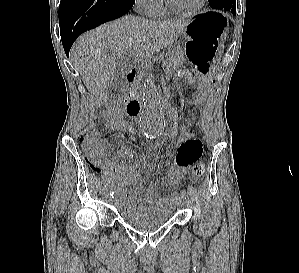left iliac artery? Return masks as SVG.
<instances>
[{"label":"left iliac artery","mask_w":299,"mask_h":273,"mask_svg":"<svg viewBox=\"0 0 299 273\" xmlns=\"http://www.w3.org/2000/svg\"><path fill=\"white\" fill-rule=\"evenodd\" d=\"M181 197L184 198V199H186L187 196H186V192L185 191H181Z\"/></svg>","instance_id":"left-iliac-artery-1"}]
</instances>
